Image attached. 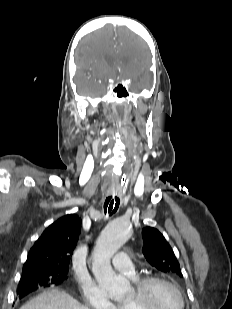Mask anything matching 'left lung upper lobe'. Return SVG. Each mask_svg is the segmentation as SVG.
<instances>
[{
  "mask_svg": "<svg viewBox=\"0 0 232 309\" xmlns=\"http://www.w3.org/2000/svg\"><path fill=\"white\" fill-rule=\"evenodd\" d=\"M143 254L149 264L165 273L183 277L180 264L164 236L155 228L146 227L142 231Z\"/></svg>",
  "mask_w": 232,
  "mask_h": 309,
  "instance_id": "5c2ea615",
  "label": "left lung upper lobe"
}]
</instances>
